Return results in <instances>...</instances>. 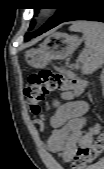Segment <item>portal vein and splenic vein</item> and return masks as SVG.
<instances>
[{"mask_svg": "<svg viewBox=\"0 0 104 169\" xmlns=\"http://www.w3.org/2000/svg\"><path fill=\"white\" fill-rule=\"evenodd\" d=\"M85 59V54H81L78 59L77 62H82Z\"/></svg>", "mask_w": 104, "mask_h": 169, "instance_id": "obj_1", "label": "portal vein and splenic vein"}]
</instances>
